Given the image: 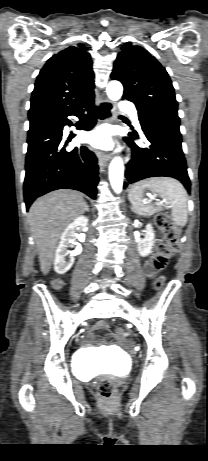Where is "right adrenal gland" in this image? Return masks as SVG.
Instances as JSON below:
<instances>
[{
    "mask_svg": "<svg viewBox=\"0 0 208 461\" xmlns=\"http://www.w3.org/2000/svg\"><path fill=\"white\" fill-rule=\"evenodd\" d=\"M85 211L89 212V206L86 204Z\"/></svg>",
    "mask_w": 208,
    "mask_h": 461,
    "instance_id": "1",
    "label": "right adrenal gland"
}]
</instances>
